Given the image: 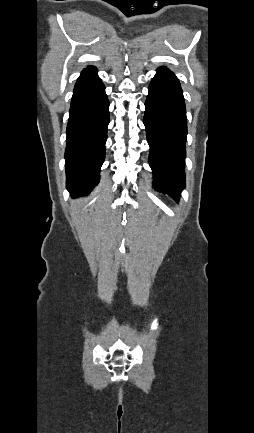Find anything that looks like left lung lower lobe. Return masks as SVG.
Segmentation results:
<instances>
[{"label": "left lung lower lobe", "instance_id": "obj_1", "mask_svg": "<svg viewBox=\"0 0 254 433\" xmlns=\"http://www.w3.org/2000/svg\"><path fill=\"white\" fill-rule=\"evenodd\" d=\"M148 90L143 122L153 186L178 198L185 187L187 118L183 92L177 77L165 67L157 70Z\"/></svg>", "mask_w": 254, "mask_h": 433}]
</instances>
